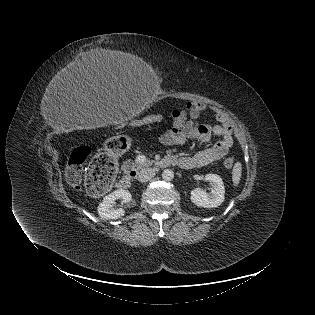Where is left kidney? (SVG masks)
Here are the masks:
<instances>
[{"instance_id": "left-kidney-1", "label": "left kidney", "mask_w": 315, "mask_h": 315, "mask_svg": "<svg viewBox=\"0 0 315 315\" xmlns=\"http://www.w3.org/2000/svg\"><path fill=\"white\" fill-rule=\"evenodd\" d=\"M205 181L210 182L211 192L195 188L191 191V201L198 207L215 208L224 201L225 187L222 178L216 174H207Z\"/></svg>"}]
</instances>
